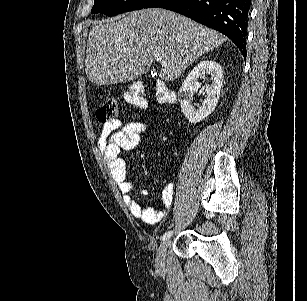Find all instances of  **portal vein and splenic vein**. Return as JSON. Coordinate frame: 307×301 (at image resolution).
<instances>
[{
  "instance_id": "18ae733b",
  "label": "portal vein and splenic vein",
  "mask_w": 307,
  "mask_h": 301,
  "mask_svg": "<svg viewBox=\"0 0 307 301\" xmlns=\"http://www.w3.org/2000/svg\"><path fill=\"white\" fill-rule=\"evenodd\" d=\"M155 60H158V62H161L162 66H168V62H165V60H162L161 54H155Z\"/></svg>"
}]
</instances>
